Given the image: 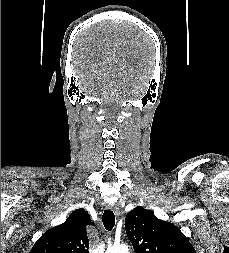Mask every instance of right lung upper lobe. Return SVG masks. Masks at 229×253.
Instances as JSON below:
<instances>
[{
    "label": "right lung upper lobe",
    "mask_w": 229,
    "mask_h": 253,
    "mask_svg": "<svg viewBox=\"0 0 229 253\" xmlns=\"http://www.w3.org/2000/svg\"><path fill=\"white\" fill-rule=\"evenodd\" d=\"M88 224H91L88 213L76 209L63 224L47 230L30 253H89Z\"/></svg>",
    "instance_id": "cb5924a9"
}]
</instances>
